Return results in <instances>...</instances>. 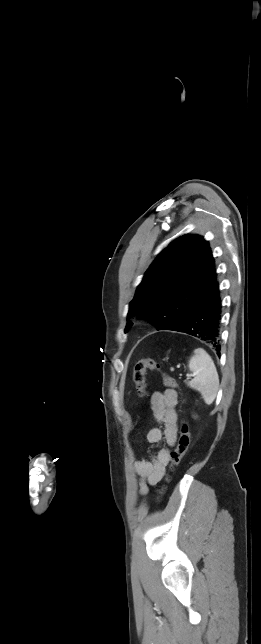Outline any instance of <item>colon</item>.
<instances>
[{
  "mask_svg": "<svg viewBox=\"0 0 261 644\" xmlns=\"http://www.w3.org/2000/svg\"><path fill=\"white\" fill-rule=\"evenodd\" d=\"M159 370H160L159 363L151 357L142 358L135 362L133 366V380L140 396H145L147 394V389H146L147 372L159 371ZM162 379H163V383L166 386L171 388L177 387V381L170 375L164 373L162 375ZM190 439H191V436H190L189 427L186 423H184L181 426L178 444L175 450L170 454L171 467H175L181 462L183 456L186 454L189 448ZM160 491H162V489Z\"/></svg>",
  "mask_w": 261,
  "mask_h": 644,
  "instance_id": "colon-1",
  "label": "colon"
}]
</instances>
